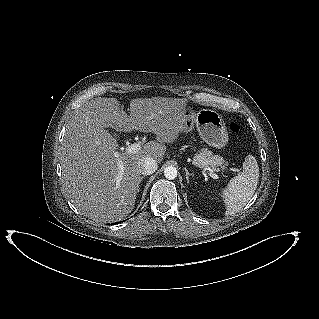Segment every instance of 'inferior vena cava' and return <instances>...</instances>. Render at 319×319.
<instances>
[{
    "label": "inferior vena cava",
    "instance_id": "602c4592",
    "mask_svg": "<svg viewBox=\"0 0 319 319\" xmlns=\"http://www.w3.org/2000/svg\"><path fill=\"white\" fill-rule=\"evenodd\" d=\"M157 168V162L151 157H146L139 162V171L143 175L153 174Z\"/></svg>",
    "mask_w": 319,
    "mask_h": 319
}]
</instances>
